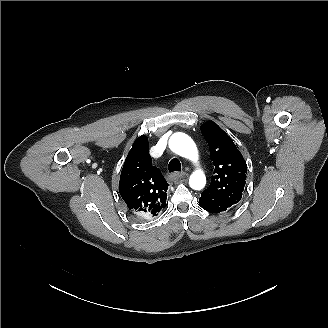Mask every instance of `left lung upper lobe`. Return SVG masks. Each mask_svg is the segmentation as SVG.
Wrapping results in <instances>:
<instances>
[{"label": "left lung upper lobe", "instance_id": "obj_1", "mask_svg": "<svg viewBox=\"0 0 328 328\" xmlns=\"http://www.w3.org/2000/svg\"><path fill=\"white\" fill-rule=\"evenodd\" d=\"M215 166L211 184L201 194L199 205L213 213L226 211L242 197L247 165L233 140L216 123L201 126Z\"/></svg>", "mask_w": 328, "mask_h": 328}]
</instances>
